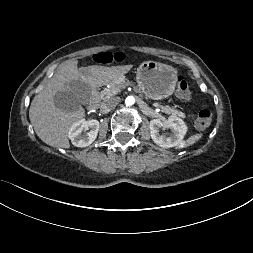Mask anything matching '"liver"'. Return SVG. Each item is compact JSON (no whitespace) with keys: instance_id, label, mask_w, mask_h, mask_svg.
<instances>
[{"instance_id":"obj_1","label":"liver","mask_w":253,"mask_h":253,"mask_svg":"<svg viewBox=\"0 0 253 253\" xmlns=\"http://www.w3.org/2000/svg\"><path fill=\"white\" fill-rule=\"evenodd\" d=\"M76 60L69 61L53 76L46 87L32 100L29 119L37 136L47 145L68 149L70 127L85 116L79 104L73 112H66L54 104L57 92L65 91L73 81L80 80L88 87L97 88L116 83L130 66L105 67L92 65L78 68Z\"/></svg>"}]
</instances>
